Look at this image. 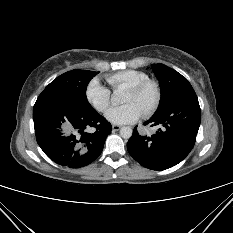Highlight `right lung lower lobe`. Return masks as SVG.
I'll use <instances>...</instances> for the list:
<instances>
[{
	"label": "right lung lower lobe",
	"mask_w": 233,
	"mask_h": 233,
	"mask_svg": "<svg viewBox=\"0 0 233 233\" xmlns=\"http://www.w3.org/2000/svg\"><path fill=\"white\" fill-rule=\"evenodd\" d=\"M36 140L55 163L80 168L102 152L111 124L93 108L80 107L53 91L44 90L33 108ZM94 127V133L86 129Z\"/></svg>",
	"instance_id": "1"
}]
</instances>
